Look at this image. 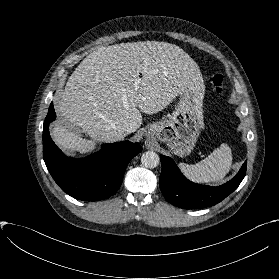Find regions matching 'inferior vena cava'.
Listing matches in <instances>:
<instances>
[{"label":"inferior vena cava","mask_w":279,"mask_h":279,"mask_svg":"<svg viewBox=\"0 0 279 279\" xmlns=\"http://www.w3.org/2000/svg\"><path fill=\"white\" fill-rule=\"evenodd\" d=\"M132 132H133V130H132L131 127H123L121 129V133L123 134L124 137L127 136L128 134L132 133Z\"/></svg>","instance_id":"obj_1"}]
</instances>
